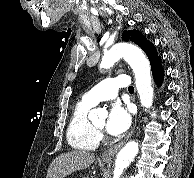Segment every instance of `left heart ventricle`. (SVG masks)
<instances>
[{
    "label": "left heart ventricle",
    "mask_w": 194,
    "mask_h": 178,
    "mask_svg": "<svg viewBox=\"0 0 194 178\" xmlns=\"http://www.w3.org/2000/svg\"><path fill=\"white\" fill-rule=\"evenodd\" d=\"M104 125V120L100 121L99 123L96 124V127L102 128Z\"/></svg>",
    "instance_id": "left-heart-ventricle-1"
}]
</instances>
